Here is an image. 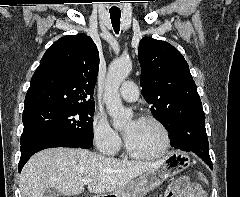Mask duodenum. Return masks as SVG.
Masks as SVG:
<instances>
[{
  "instance_id": "1",
  "label": "duodenum",
  "mask_w": 240,
  "mask_h": 197,
  "mask_svg": "<svg viewBox=\"0 0 240 197\" xmlns=\"http://www.w3.org/2000/svg\"><path fill=\"white\" fill-rule=\"evenodd\" d=\"M95 197H115L114 195H103V196H95Z\"/></svg>"
}]
</instances>
